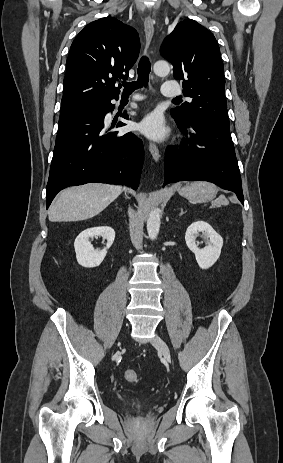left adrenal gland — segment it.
I'll return each instance as SVG.
<instances>
[{
	"label": "left adrenal gland",
	"instance_id": "1",
	"mask_svg": "<svg viewBox=\"0 0 283 463\" xmlns=\"http://www.w3.org/2000/svg\"><path fill=\"white\" fill-rule=\"evenodd\" d=\"M183 214H185V211L183 210V208H180L179 216H182Z\"/></svg>",
	"mask_w": 283,
	"mask_h": 463
}]
</instances>
